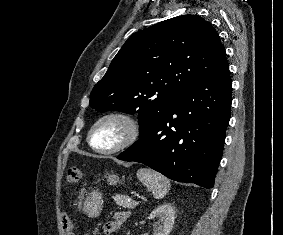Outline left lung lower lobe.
Masks as SVG:
<instances>
[{
  "mask_svg": "<svg viewBox=\"0 0 283 235\" xmlns=\"http://www.w3.org/2000/svg\"><path fill=\"white\" fill-rule=\"evenodd\" d=\"M231 86L226 62L188 86L117 158L143 163L178 182L213 187L230 119Z\"/></svg>",
  "mask_w": 283,
  "mask_h": 235,
  "instance_id": "1",
  "label": "left lung lower lobe"
}]
</instances>
